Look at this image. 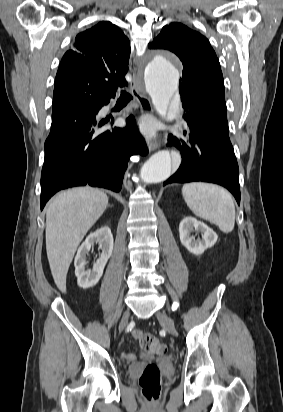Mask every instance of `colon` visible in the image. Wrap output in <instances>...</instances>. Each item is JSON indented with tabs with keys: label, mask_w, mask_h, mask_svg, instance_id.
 <instances>
[{
	"label": "colon",
	"mask_w": 283,
	"mask_h": 412,
	"mask_svg": "<svg viewBox=\"0 0 283 412\" xmlns=\"http://www.w3.org/2000/svg\"><path fill=\"white\" fill-rule=\"evenodd\" d=\"M139 343L143 350L152 355H161L165 352L166 346L151 334H141ZM139 385L143 396L149 402H156L161 390V375L155 364H149L144 369Z\"/></svg>",
	"instance_id": "5ec220e1"
}]
</instances>
